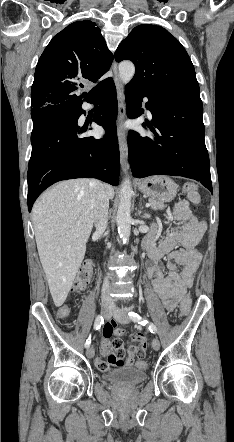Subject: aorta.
I'll return each mask as SVG.
<instances>
[{"mask_svg": "<svg viewBox=\"0 0 234 442\" xmlns=\"http://www.w3.org/2000/svg\"><path fill=\"white\" fill-rule=\"evenodd\" d=\"M119 76L123 83L131 81L135 74V66L132 62L123 61L119 64ZM133 190L131 182L126 178L121 185L120 203L118 206L116 222L120 238L127 241L131 234V196Z\"/></svg>", "mask_w": 234, "mask_h": 442, "instance_id": "obj_1", "label": "aorta"}]
</instances>
